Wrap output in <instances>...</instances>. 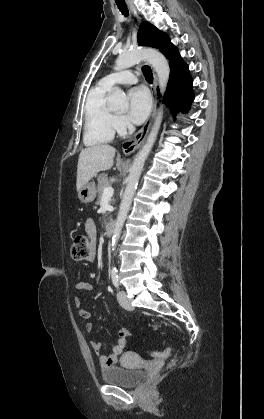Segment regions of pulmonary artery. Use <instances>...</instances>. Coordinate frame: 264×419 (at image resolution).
I'll list each match as a JSON object with an SVG mask.
<instances>
[{"mask_svg":"<svg viewBox=\"0 0 264 419\" xmlns=\"http://www.w3.org/2000/svg\"><path fill=\"white\" fill-rule=\"evenodd\" d=\"M137 81L138 74L132 70L112 73L102 79V82L110 88L117 84H134Z\"/></svg>","mask_w":264,"mask_h":419,"instance_id":"e3ab8cb5","label":"pulmonary artery"}]
</instances>
